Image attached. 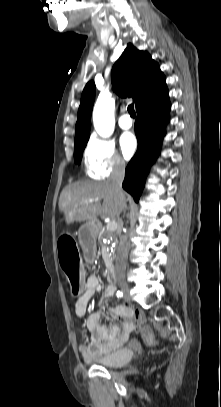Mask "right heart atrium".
Returning <instances> with one entry per match:
<instances>
[{"label": "right heart atrium", "instance_id": "d8ad5b80", "mask_svg": "<svg viewBox=\"0 0 221 407\" xmlns=\"http://www.w3.org/2000/svg\"><path fill=\"white\" fill-rule=\"evenodd\" d=\"M84 158L89 175L96 179L105 178L125 167L114 142L97 136H92L87 142Z\"/></svg>", "mask_w": 221, "mask_h": 407}]
</instances>
